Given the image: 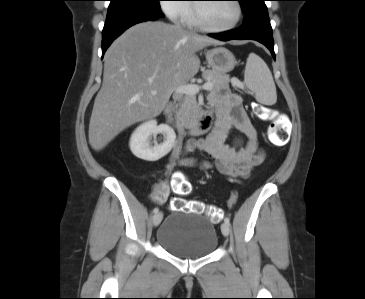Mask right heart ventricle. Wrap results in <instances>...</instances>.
I'll return each mask as SVG.
<instances>
[{
    "label": "right heart ventricle",
    "instance_id": "right-heart-ventricle-1",
    "mask_svg": "<svg viewBox=\"0 0 365 299\" xmlns=\"http://www.w3.org/2000/svg\"><path fill=\"white\" fill-rule=\"evenodd\" d=\"M184 23L188 26H194V21H193V13H192V7L191 5H189V9L188 12L186 14V17L184 19Z\"/></svg>",
    "mask_w": 365,
    "mask_h": 299
}]
</instances>
